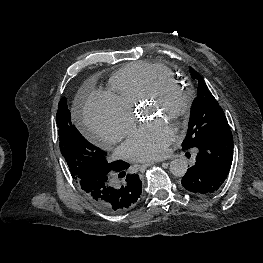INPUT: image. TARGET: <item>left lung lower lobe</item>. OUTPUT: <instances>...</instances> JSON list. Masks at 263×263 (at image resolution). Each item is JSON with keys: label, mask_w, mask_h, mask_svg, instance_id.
Here are the masks:
<instances>
[{"label": "left lung lower lobe", "mask_w": 263, "mask_h": 263, "mask_svg": "<svg viewBox=\"0 0 263 263\" xmlns=\"http://www.w3.org/2000/svg\"><path fill=\"white\" fill-rule=\"evenodd\" d=\"M196 163L181 180L183 187L195 195H208L223 184L233 159L231 130L218 131L201 142Z\"/></svg>", "instance_id": "1"}]
</instances>
